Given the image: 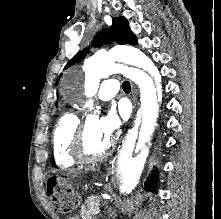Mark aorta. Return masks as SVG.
<instances>
[{
    "instance_id": "762f6f07",
    "label": "aorta",
    "mask_w": 221,
    "mask_h": 219,
    "mask_svg": "<svg viewBox=\"0 0 221 219\" xmlns=\"http://www.w3.org/2000/svg\"><path fill=\"white\" fill-rule=\"evenodd\" d=\"M121 64L136 66L148 72L151 76L149 88L153 105V110L148 119L147 133L139 149L135 150L134 144L140 120H138V125L133 130L127 146L122 149L115 163L114 188L119 196L124 198L137 186L148 156L151 130L159 117V85L161 77L152 60L139 49L128 46L120 47L108 53L95 54L85 61L84 69L90 79L87 95L92 96L96 94L99 80L107 78L116 72L121 67ZM86 106H92V102L90 101Z\"/></svg>"
}]
</instances>
